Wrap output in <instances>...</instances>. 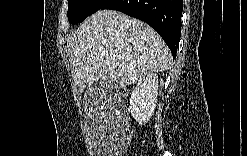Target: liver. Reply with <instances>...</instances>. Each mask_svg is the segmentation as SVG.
Here are the masks:
<instances>
[{
  "instance_id": "liver-1",
  "label": "liver",
  "mask_w": 247,
  "mask_h": 156,
  "mask_svg": "<svg viewBox=\"0 0 247 156\" xmlns=\"http://www.w3.org/2000/svg\"><path fill=\"white\" fill-rule=\"evenodd\" d=\"M72 77L82 92L108 75L130 85L152 72H163L172 56L160 35L149 25L114 10L87 18L67 39Z\"/></svg>"
}]
</instances>
